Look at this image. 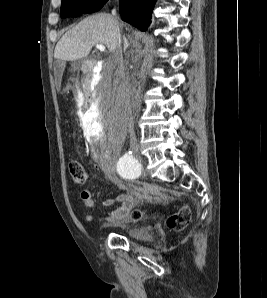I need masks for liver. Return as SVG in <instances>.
Returning <instances> with one entry per match:
<instances>
[{
	"instance_id": "obj_1",
	"label": "liver",
	"mask_w": 267,
	"mask_h": 298,
	"mask_svg": "<svg viewBox=\"0 0 267 298\" xmlns=\"http://www.w3.org/2000/svg\"><path fill=\"white\" fill-rule=\"evenodd\" d=\"M116 23L119 26L117 19L106 13L86 17L62 36L55 47L54 58L60 61L83 59L97 44L105 45L113 53L119 42Z\"/></svg>"
}]
</instances>
